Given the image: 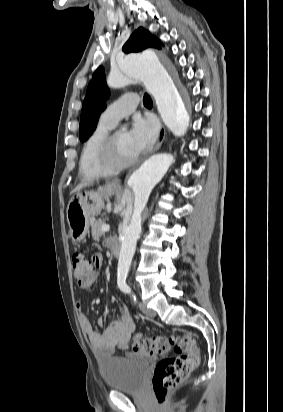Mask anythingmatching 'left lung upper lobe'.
Masks as SVG:
<instances>
[{
    "instance_id": "1",
    "label": "left lung upper lobe",
    "mask_w": 283,
    "mask_h": 412,
    "mask_svg": "<svg viewBox=\"0 0 283 412\" xmlns=\"http://www.w3.org/2000/svg\"><path fill=\"white\" fill-rule=\"evenodd\" d=\"M161 49V42L144 28L136 30L125 43L122 50L125 53L139 52L146 48ZM110 92L105 82L103 68L100 66L93 74L89 82L86 97L81 111L79 137L81 141L87 140L96 129L95 120L105 109V101Z\"/></svg>"
}]
</instances>
